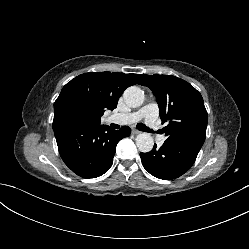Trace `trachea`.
Segmentation results:
<instances>
[{
	"label": "trachea",
	"mask_w": 249,
	"mask_h": 249,
	"mask_svg": "<svg viewBox=\"0 0 249 249\" xmlns=\"http://www.w3.org/2000/svg\"><path fill=\"white\" fill-rule=\"evenodd\" d=\"M136 127L140 131L149 132V133L152 132V130H150L148 127H146L145 124H143V123H138Z\"/></svg>",
	"instance_id": "1"
}]
</instances>
